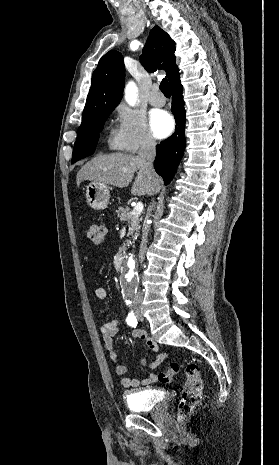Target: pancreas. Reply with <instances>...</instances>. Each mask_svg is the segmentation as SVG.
I'll list each match as a JSON object with an SVG mask.
<instances>
[{"instance_id":"1","label":"pancreas","mask_w":279,"mask_h":465,"mask_svg":"<svg viewBox=\"0 0 279 465\" xmlns=\"http://www.w3.org/2000/svg\"><path fill=\"white\" fill-rule=\"evenodd\" d=\"M116 213L121 222H126L128 224V236L132 238L126 240L127 245L123 246V248L126 249V246L131 245L139 236L141 220L139 217H134L131 215L129 207H119Z\"/></svg>"}]
</instances>
